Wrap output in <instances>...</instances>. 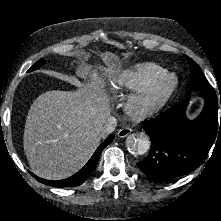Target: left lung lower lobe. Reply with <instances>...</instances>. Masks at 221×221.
I'll return each mask as SVG.
<instances>
[{
    "label": "left lung lower lobe",
    "mask_w": 221,
    "mask_h": 221,
    "mask_svg": "<svg viewBox=\"0 0 221 221\" xmlns=\"http://www.w3.org/2000/svg\"><path fill=\"white\" fill-rule=\"evenodd\" d=\"M200 96L205 104L195 120L186 118V102L143 122V129L151 139V150L137 166L147 177L169 180L193 171L205 161L216 138L221 139L219 98L214 90L204 91Z\"/></svg>",
    "instance_id": "obj_1"
}]
</instances>
